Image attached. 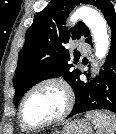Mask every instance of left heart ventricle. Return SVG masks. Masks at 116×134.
<instances>
[{
  "label": "left heart ventricle",
  "instance_id": "1",
  "mask_svg": "<svg viewBox=\"0 0 116 134\" xmlns=\"http://www.w3.org/2000/svg\"><path fill=\"white\" fill-rule=\"evenodd\" d=\"M64 103V95L58 87L44 86L27 97L23 115L25 120L31 124L43 123L60 114Z\"/></svg>",
  "mask_w": 116,
  "mask_h": 134
}]
</instances>
